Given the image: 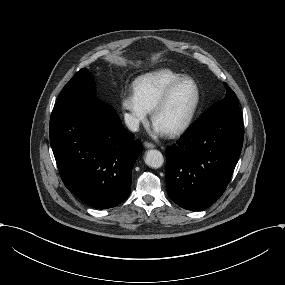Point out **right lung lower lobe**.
I'll return each instance as SVG.
<instances>
[{"instance_id":"obj_1","label":"right lung lower lobe","mask_w":285,"mask_h":285,"mask_svg":"<svg viewBox=\"0 0 285 285\" xmlns=\"http://www.w3.org/2000/svg\"><path fill=\"white\" fill-rule=\"evenodd\" d=\"M50 143L62 181L83 202L106 209L129 196L141 143L109 105L94 97L57 103Z\"/></svg>"}]
</instances>
